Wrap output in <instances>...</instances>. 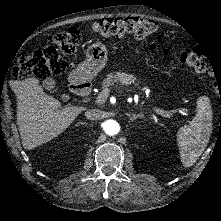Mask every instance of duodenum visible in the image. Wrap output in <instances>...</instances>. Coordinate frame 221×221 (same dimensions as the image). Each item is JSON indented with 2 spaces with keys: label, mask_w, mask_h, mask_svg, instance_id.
<instances>
[{
  "label": "duodenum",
  "mask_w": 221,
  "mask_h": 221,
  "mask_svg": "<svg viewBox=\"0 0 221 221\" xmlns=\"http://www.w3.org/2000/svg\"><path fill=\"white\" fill-rule=\"evenodd\" d=\"M71 89L76 95L86 97L90 93V83L82 73H79L72 78Z\"/></svg>",
  "instance_id": "obj_1"
}]
</instances>
